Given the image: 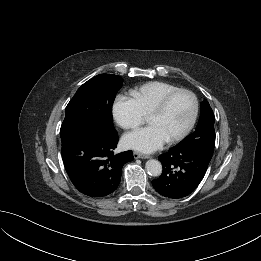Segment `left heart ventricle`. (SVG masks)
Segmentation results:
<instances>
[{"label": "left heart ventricle", "mask_w": 261, "mask_h": 261, "mask_svg": "<svg viewBox=\"0 0 261 261\" xmlns=\"http://www.w3.org/2000/svg\"><path fill=\"white\" fill-rule=\"evenodd\" d=\"M193 109L192 99L185 94L177 96L167 110L148 117L149 124L159 126L168 138L181 132L188 124Z\"/></svg>", "instance_id": "1"}]
</instances>
